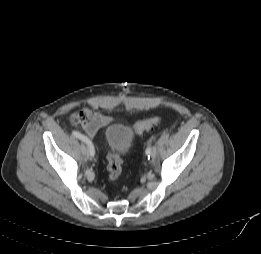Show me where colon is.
Masks as SVG:
<instances>
[{"mask_svg": "<svg viewBox=\"0 0 261 254\" xmlns=\"http://www.w3.org/2000/svg\"><path fill=\"white\" fill-rule=\"evenodd\" d=\"M160 123L158 117H150L138 121L134 126V131L138 134L149 131ZM107 172L111 182H116L122 173V158L116 152H109L107 155Z\"/></svg>", "mask_w": 261, "mask_h": 254, "instance_id": "obj_1", "label": "colon"}]
</instances>
